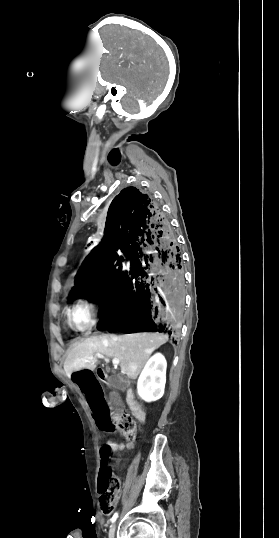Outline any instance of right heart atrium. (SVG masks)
Here are the masks:
<instances>
[{
    "instance_id": "obj_1",
    "label": "right heart atrium",
    "mask_w": 279,
    "mask_h": 538,
    "mask_svg": "<svg viewBox=\"0 0 279 538\" xmlns=\"http://www.w3.org/2000/svg\"><path fill=\"white\" fill-rule=\"evenodd\" d=\"M105 225L106 223L104 222L103 226ZM96 312H97V308L94 305L88 304L86 306V317H87L86 322H85L86 326H91L94 324Z\"/></svg>"
}]
</instances>
